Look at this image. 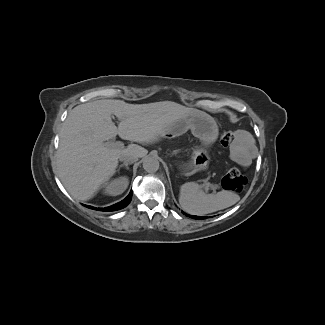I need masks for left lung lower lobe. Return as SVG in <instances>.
<instances>
[{
	"instance_id": "1",
	"label": "left lung lower lobe",
	"mask_w": 325,
	"mask_h": 325,
	"mask_svg": "<svg viewBox=\"0 0 325 325\" xmlns=\"http://www.w3.org/2000/svg\"><path fill=\"white\" fill-rule=\"evenodd\" d=\"M185 215L189 216L191 218H194V219H205V218H207V217H202V216H193V215H187V214H185Z\"/></svg>"
}]
</instances>
